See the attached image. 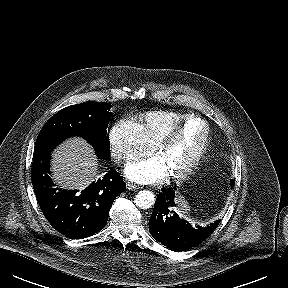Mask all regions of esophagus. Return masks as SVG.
<instances>
[{
  "label": "esophagus",
  "mask_w": 288,
  "mask_h": 288,
  "mask_svg": "<svg viewBox=\"0 0 288 288\" xmlns=\"http://www.w3.org/2000/svg\"><path fill=\"white\" fill-rule=\"evenodd\" d=\"M126 187L128 190H131V191H135V190L139 189V186L132 184V183H127Z\"/></svg>",
  "instance_id": "1"
}]
</instances>
